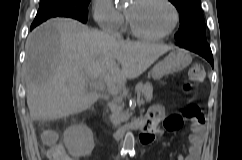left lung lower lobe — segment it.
Here are the masks:
<instances>
[{"instance_id":"obj_1","label":"left lung lower lobe","mask_w":242,"mask_h":160,"mask_svg":"<svg viewBox=\"0 0 242 160\" xmlns=\"http://www.w3.org/2000/svg\"><path fill=\"white\" fill-rule=\"evenodd\" d=\"M177 45L204 57L206 60L210 62V64L213 67V56L211 48L206 40H193L186 43H178Z\"/></svg>"}]
</instances>
